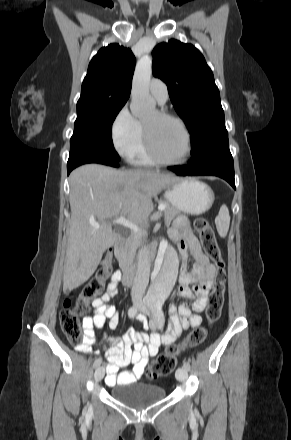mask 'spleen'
I'll list each match as a JSON object with an SVG mask.
<instances>
[{"label": "spleen", "instance_id": "1", "mask_svg": "<svg viewBox=\"0 0 291 440\" xmlns=\"http://www.w3.org/2000/svg\"><path fill=\"white\" fill-rule=\"evenodd\" d=\"M215 224L220 237H226L230 225V215L225 204L220 207L219 213L215 218Z\"/></svg>", "mask_w": 291, "mask_h": 440}]
</instances>
